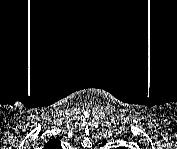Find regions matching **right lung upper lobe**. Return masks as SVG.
<instances>
[{
	"label": "right lung upper lobe",
	"instance_id": "1",
	"mask_svg": "<svg viewBox=\"0 0 177 149\" xmlns=\"http://www.w3.org/2000/svg\"><path fill=\"white\" fill-rule=\"evenodd\" d=\"M52 140H54V142H58V139H52ZM49 143V142H48ZM49 147V146H48ZM50 148H52V147H50ZM53 148H55V147H53Z\"/></svg>",
	"mask_w": 177,
	"mask_h": 149
}]
</instances>
